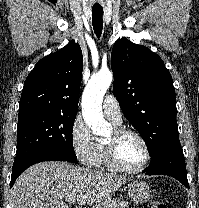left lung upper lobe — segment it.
Segmentation results:
<instances>
[{
  "mask_svg": "<svg viewBox=\"0 0 199 208\" xmlns=\"http://www.w3.org/2000/svg\"><path fill=\"white\" fill-rule=\"evenodd\" d=\"M111 67L114 96L154 160L166 145L179 139L171 74L157 54L126 38L115 42Z\"/></svg>",
  "mask_w": 199,
  "mask_h": 208,
  "instance_id": "1",
  "label": "left lung upper lobe"
}]
</instances>
